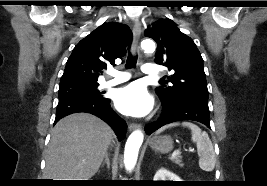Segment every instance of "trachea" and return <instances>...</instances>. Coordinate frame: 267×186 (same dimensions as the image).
Segmentation results:
<instances>
[{"label": "trachea", "instance_id": "trachea-1", "mask_svg": "<svg viewBox=\"0 0 267 186\" xmlns=\"http://www.w3.org/2000/svg\"><path fill=\"white\" fill-rule=\"evenodd\" d=\"M137 63V56L132 55L131 52H128L127 60H126V67L127 68H134Z\"/></svg>", "mask_w": 267, "mask_h": 186}]
</instances>
